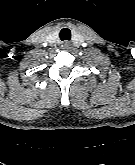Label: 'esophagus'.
<instances>
[{"label": "esophagus", "instance_id": "34e87169", "mask_svg": "<svg viewBox=\"0 0 135 165\" xmlns=\"http://www.w3.org/2000/svg\"><path fill=\"white\" fill-rule=\"evenodd\" d=\"M62 46H63L64 49H68L71 46V44H70L69 41H65V42H63Z\"/></svg>", "mask_w": 135, "mask_h": 165}]
</instances>
